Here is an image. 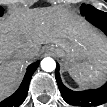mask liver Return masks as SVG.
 I'll use <instances>...</instances> for the list:
<instances>
[{"mask_svg": "<svg viewBox=\"0 0 107 107\" xmlns=\"http://www.w3.org/2000/svg\"><path fill=\"white\" fill-rule=\"evenodd\" d=\"M78 28L63 8L14 9L0 23V91L8 95L18 85L26 62L38 55L43 44L66 40ZM81 56L87 61L106 54L105 40L97 35L79 36ZM32 52L31 58L20 54Z\"/></svg>", "mask_w": 107, "mask_h": 107, "instance_id": "1", "label": "liver"}]
</instances>
